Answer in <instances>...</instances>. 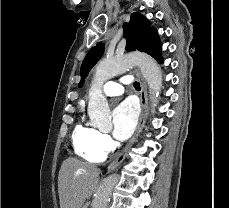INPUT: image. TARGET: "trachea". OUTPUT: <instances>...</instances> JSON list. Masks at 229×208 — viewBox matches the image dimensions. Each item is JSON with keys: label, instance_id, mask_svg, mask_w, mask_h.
<instances>
[{"label": "trachea", "instance_id": "trachea-1", "mask_svg": "<svg viewBox=\"0 0 229 208\" xmlns=\"http://www.w3.org/2000/svg\"><path fill=\"white\" fill-rule=\"evenodd\" d=\"M133 86H134V88H138V89H140V83H138V82H134L133 83Z\"/></svg>", "mask_w": 229, "mask_h": 208}]
</instances>
